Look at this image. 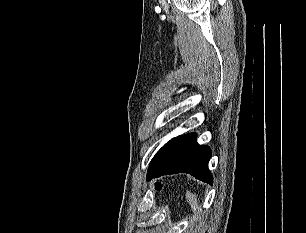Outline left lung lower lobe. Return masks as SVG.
<instances>
[{
  "label": "left lung lower lobe",
  "instance_id": "1",
  "mask_svg": "<svg viewBox=\"0 0 306 233\" xmlns=\"http://www.w3.org/2000/svg\"><path fill=\"white\" fill-rule=\"evenodd\" d=\"M210 157V148L199 145L195 134L175 137L155 154L148 168L147 179L183 172L212 184L213 177L208 169Z\"/></svg>",
  "mask_w": 306,
  "mask_h": 233
}]
</instances>
